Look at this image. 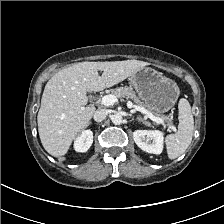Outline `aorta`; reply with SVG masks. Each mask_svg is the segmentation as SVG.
<instances>
[{"mask_svg":"<svg viewBox=\"0 0 224 224\" xmlns=\"http://www.w3.org/2000/svg\"><path fill=\"white\" fill-rule=\"evenodd\" d=\"M122 116L119 113H115L114 115H112L111 117V121L113 124L115 125H119L122 123Z\"/></svg>","mask_w":224,"mask_h":224,"instance_id":"obj_1","label":"aorta"}]
</instances>
